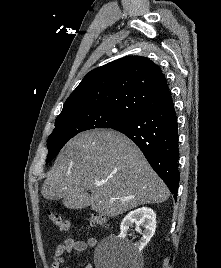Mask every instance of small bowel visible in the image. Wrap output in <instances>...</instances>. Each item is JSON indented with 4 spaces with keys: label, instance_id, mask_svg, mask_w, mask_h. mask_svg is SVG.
I'll return each mask as SVG.
<instances>
[{
    "label": "small bowel",
    "instance_id": "small-bowel-1",
    "mask_svg": "<svg viewBox=\"0 0 221 268\" xmlns=\"http://www.w3.org/2000/svg\"><path fill=\"white\" fill-rule=\"evenodd\" d=\"M97 244L95 238H88L87 240H76L68 238L61 242L55 249L52 261V268H69L65 264V254L68 252L76 251L83 252L87 249L94 248ZM84 268H93L91 264H87Z\"/></svg>",
    "mask_w": 221,
    "mask_h": 268
}]
</instances>
